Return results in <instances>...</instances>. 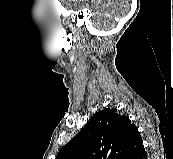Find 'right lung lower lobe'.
<instances>
[{
    "instance_id": "98d812e1",
    "label": "right lung lower lobe",
    "mask_w": 173,
    "mask_h": 159,
    "mask_svg": "<svg viewBox=\"0 0 173 159\" xmlns=\"http://www.w3.org/2000/svg\"><path fill=\"white\" fill-rule=\"evenodd\" d=\"M135 159H147L145 150H143L139 155H137Z\"/></svg>"
}]
</instances>
